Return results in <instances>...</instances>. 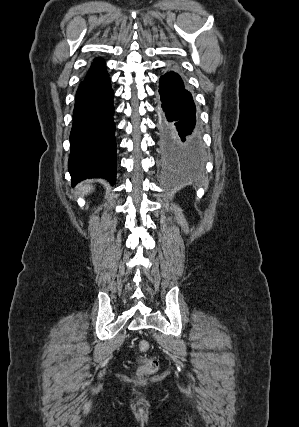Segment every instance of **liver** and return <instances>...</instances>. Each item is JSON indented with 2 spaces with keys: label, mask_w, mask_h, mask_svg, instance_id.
I'll return each instance as SVG.
<instances>
[{
  "label": "liver",
  "mask_w": 299,
  "mask_h": 427,
  "mask_svg": "<svg viewBox=\"0 0 299 427\" xmlns=\"http://www.w3.org/2000/svg\"><path fill=\"white\" fill-rule=\"evenodd\" d=\"M93 186L86 184V185H80L79 190L83 192V194H88L93 190Z\"/></svg>",
  "instance_id": "liver-1"
}]
</instances>
